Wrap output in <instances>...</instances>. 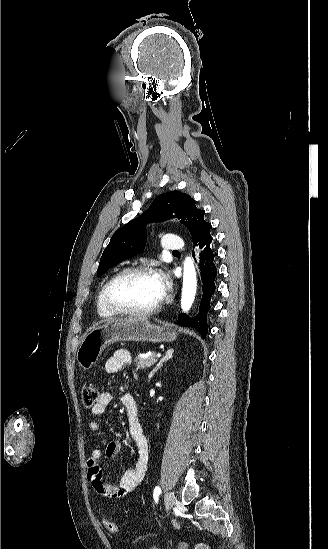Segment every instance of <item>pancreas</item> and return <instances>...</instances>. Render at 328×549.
<instances>
[{
  "label": "pancreas",
  "instance_id": "obj_1",
  "mask_svg": "<svg viewBox=\"0 0 328 549\" xmlns=\"http://www.w3.org/2000/svg\"><path fill=\"white\" fill-rule=\"evenodd\" d=\"M156 361L157 359H155V353H151L149 357H136V359H134L137 369H149V367L154 365Z\"/></svg>",
  "mask_w": 328,
  "mask_h": 549
}]
</instances>
